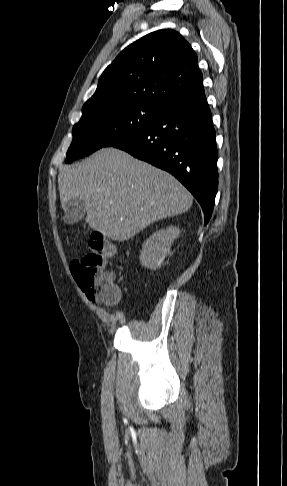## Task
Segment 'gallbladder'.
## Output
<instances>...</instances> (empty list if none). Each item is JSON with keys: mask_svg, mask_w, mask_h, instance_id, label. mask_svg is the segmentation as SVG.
<instances>
[{"mask_svg": "<svg viewBox=\"0 0 287 486\" xmlns=\"http://www.w3.org/2000/svg\"><path fill=\"white\" fill-rule=\"evenodd\" d=\"M86 215L85 203L79 198H72L64 207V222L72 225L83 219Z\"/></svg>", "mask_w": 287, "mask_h": 486, "instance_id": "gallbladder-1", "label": "gallbladder"}]
</instances>
